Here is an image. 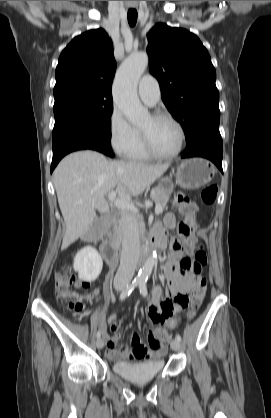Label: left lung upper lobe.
<instances>
[{
    "mask_svg": "<svg viewBox=\"0 0 271 418\" xmlns=\"http://www.w3.org/2000/svg\"><path fill=\"white\" fill-rule=\"evenodd\" d=\"M150 72L162 100L181 124L188 144L197 134L219 130L216 71L199 38L182 28L156 24L148 33Z\"/></svg>",
    "mask_w": 271,
    "mask_h": 418,
    "instance_id": "left-lung-upper-lobe-1",
    "label": "left lung upper lobe"
}]
</instances>
